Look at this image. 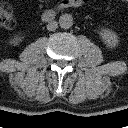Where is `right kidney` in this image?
<instances>
[{
    "mask_svg": "<svg viewBox=\"0 0 128 128\" xmlns=\"http://www.w3.org/2000/svg\"><path fill=\"white\" fill-rule=\"evenodd\" d=\"M22 41V37L16 36L12 41L11 44L18 45Z\"/></svg>",
    "mask_w": 128,
    "mask_h": 128,
    "instance_id": "obj_1",
    "label": "right kidney"
}]
</instances>
